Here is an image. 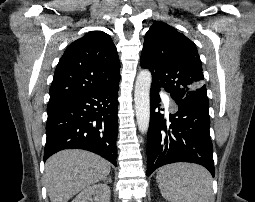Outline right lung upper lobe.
I'll use <instances>...</instances> for the list:
<instances>
[{"mask_svg":"<svg viewBox=\"0 0 255 202\" xmlns=\"http://www.w3.org/2000/svg\"><path fill=\"white\" fill-rule=\"evenodd\" d=\"M120 63L111 37L92 31L74 41L61 57L50 100L109 88L120 80Z\"/></svg>","mask_w":255,"mask_h":202,"instance_id":"1","label":"right lung upper lobe"}]
</instances>
